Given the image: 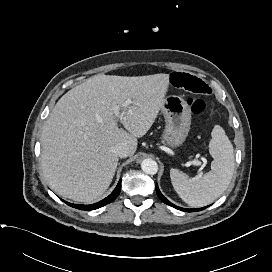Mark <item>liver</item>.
I'll use <instances>...</instances> for the list:
<instances>
[{
	"label": "liver",
	"instance_id": "6515ba94",
	"mask_svg": "<svg viewBox=\"0 0 272 272\" xmlns=\"http://www.w3.org/2000/svg\"><path fill=\"white\" fill-rule=\"evenodd\" d=\"M169 74L127 77L99 74L69 90L56 103L41 134V167L61 197L90 203L112 182L119 161L112 148L127 144L154 123L169 86ZM130 99L132 103L123 104ZM122 110L116 116L114 108ZM118 118L127 130L118 127Z\"/></svg>",
	"mask_w": 272,
	"mask_h": 272
}]
</instances>
